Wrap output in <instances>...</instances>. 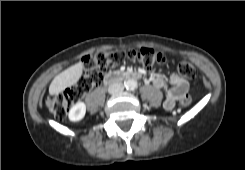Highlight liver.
<instances>
[{
	"instance_id": "6515ba94",
	"label": "liver",
	"mask_w": 245,
	"mask_h": 170,
	"mask_svg": "<svg viewBox=\"0 0 245 170\" xmlns=\"http://www.w3.org/2000/svg\"><path fill=\"white\" fill-rule=\"evenodd\" d=\"M82 72L83 64L79 62L58 74L49 86L50 95H57L66 88L73 86L82 76Z\"/></svg>"
}]
</instances>
